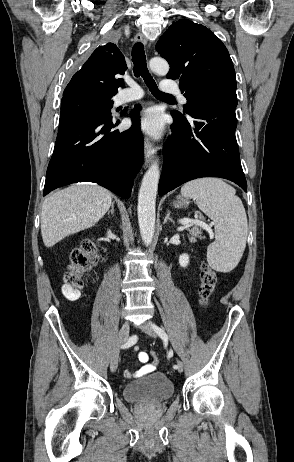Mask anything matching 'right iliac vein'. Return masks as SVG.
<instances>
[{
    "mask_svg": "<svg viewBox=\"0 0 294 462\" xmlns=\"http://www.w3.org/2000/svg\"><path fill=\"white\" fill-rule=\"evenodd\" d=\"M129 331H130V324L128 321L124 322L119 334H118V339H117V344L113 350L111 361H110V370L111 372H115L118 367V360H119V352H120V347L126 342L128 336H129Z\"/></svg>",
    "mask_w": 294,
    "mask_h": 462,
    "instance_id": "right-iliac-vein-1",
    "label": "right iliac vein"
}]
</instances>
